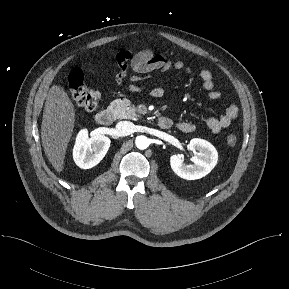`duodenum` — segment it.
I'll return each instance as SVG.
<instances>
[{"label": "duodenum", "instance_id": "duodenum-1", "mask_svg": "<svg viewBox=\"0 0 289 289\" xmlns=\"http://www.w3.org/2000/svg\"><path fill=\"white\" fill-rule=\"evenodd\" d=\"M95 120L99 125H110L113 121V113L108 109H103L96 114ZM172 124V120L168 117L162 116L158 119V125L162 129H169Z\"/></svg>", "mask_w": 289, "mask_h": 289}]
</instances>
